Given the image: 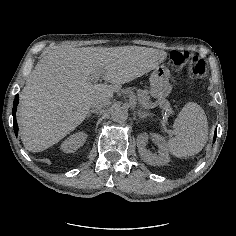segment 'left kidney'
<instances>
[{
	"instance_id": "1",
	"label": "left kidney",
	"mask_w": 236,
	"mask_h": 236,
	"mask_svg": "<svg viewBox=\"0 0 236 236\" xmlns=\"http://www.w3.org/2000/svg\"><path fill=\"white\" fill-rule=\"evenodd\" d=\"M151 139L155 144L158 145L160 151L158 155L151 156L148 150L145 148L147 144V135L144 133L138 134L136 138L138 152L142 160L149 165H164L169 162L168 149L162 139L158 134H151Z\"/></svg>"
}]
</instances>
